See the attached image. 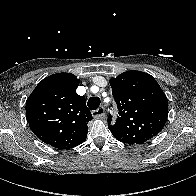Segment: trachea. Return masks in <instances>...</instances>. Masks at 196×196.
<instances>
[{
    "label": "trachea",
    "instance_id": "1",
    "mask_svg": "<svg viewBox=\"0 0 196 196\" xmlns=\"http://www.w3.org/2000/svg\"><path fill=\"white\" fill-rule=\"evenodd\" d=\"M87 105L91 110H97L100 105V98L99 97H91L88 100Z\"/></svg>",
    "mask_w": 196,
    "mask_h": 196
}]
</instances>
